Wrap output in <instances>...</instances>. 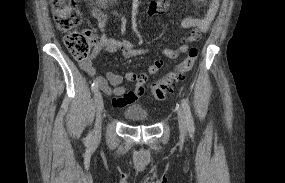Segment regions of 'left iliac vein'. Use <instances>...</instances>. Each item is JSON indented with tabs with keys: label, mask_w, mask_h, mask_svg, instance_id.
I'll use <instances>...</instances> for the list:
<instances>
[{
	"label": "left iliac vein",
	"mask_w": 285,
	"mask_h": 183,
	"mask_svg": "<svg viewBox=\"0 0 285 183\" xmlns=\"http://www.w3.org/2000/svg\"><path fill=\"white\" fill-rule=\"evenodd\" d=\"M177 116H178V124H179L180 133L182 136H185L187 133V125H186L184 113L181 109L177 110Z\"/></svg>",
	"instance_id": "4c4485c4"
}]
</instances>
